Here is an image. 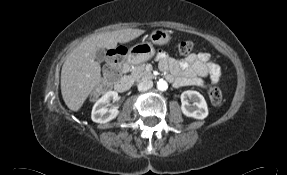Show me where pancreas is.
<instances>
[{
    "instance_id": "pancreas-1",
    "label": "pancreas",
    "mask_w": 287,
    "mask_h": 175,
    "mask_svg": "<svg viewBox=\"0 0 287 175\" xmlns=\"http://www.w3.org/2000/svg\"><path fill=\"white\" fill-rule=\"evenodd\" d=\"M152 76V74L145 69V65L135 66L131 74L129 75V79L132 81H141L144 79H148Z\"/></svg>"
}]
</instances>
